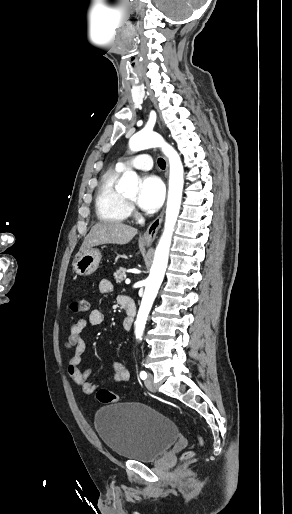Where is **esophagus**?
<instances>
[{"label": "esophagus", "mask_w": 292, "mask_h": 514, "mask_svg": "<svg viewBox=\"0 0 292 514\" xmlns=\"http://www.w3.org/2000/svg\"><path fill=\"white\" fill-rule=\"evenodd\" d=\"M167 170H168V163H167ZM163 216H164V209L162 210L160 215H158V217H156V219L153 220V222H151V224L146 229V231L144 232V234L142 235L140 240H142L143 242H147V243L153 242V240L155 239V237L157 235L158 230L161 227V224L163 221Z\"/></svg>", "instance_id": "1"}]
</instances>
